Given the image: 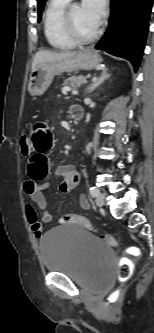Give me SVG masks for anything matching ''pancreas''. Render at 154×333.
Masks as SVG:
<instances>
[{
	"label": "pancreas",
	"mask_w": 154,
	"mask_h": 333,
	"mask_svg": "<svg viewBox=\"0 0 154 333\" xmlns=\"http://www.w3.org/2000/svg\"><path fill=\"white\" fill-rule=\"evenodd\" d=\"M86 78L82 75L71 76L64 81V86H71L72 88H78L81 84L85 83Z\"/></svg>",
	"instance_id": "obj_1"
}]
</instances>
